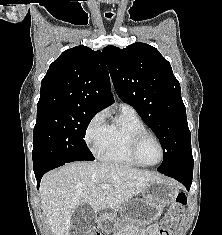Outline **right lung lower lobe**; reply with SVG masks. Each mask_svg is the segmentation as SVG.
Wrapping results in <instances>:
<instances>
[{"label": "right lung lower lobe", "mask_w": 222, "mask_h": 235, "mask_svg": "<svg viewBox=\"0 0 222 235\" xmlns=\"http://www.w3.org/2000/svg\"><path fill=\"white\" fill-rule=\"evenodd\" d=\"M66 163H69V162L58 163V164H55V165L48 166V167H46V168H44V169H42V170H39V171L34 172V173H35V177H36V179H37L38 188H39V184H40L41 178H42V176H43L46 172H48V171H50V170H52V169H54V168H57V167H59V166H62V165H64V164H66Z\"/></svg>", "instance_id": "98d812e1"}]
</instances>
